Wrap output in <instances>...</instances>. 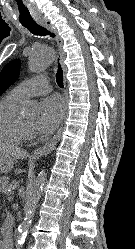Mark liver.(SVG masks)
I'll return each mask as SVG.
<instances>
[{
	"label": "liver",
	"instance_id": "liver-1",
	"mask_svg": "<svg viewBox=\"0 0 135 249\" xmlns=\"http://www.w3.org/2000/svg\"><path fill=\"white\" fill-rule=\"evenodd\" d=\"M0 152H3L4 154L11 156L12 158H17V159H24L28 157V153L18 147L14 146H8L4 144H0Z\"/></svg>",
	"mask_w": 135,
	"mask_h": 249
}]
</instances>
